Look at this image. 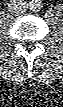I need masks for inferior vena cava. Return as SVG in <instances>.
Returning <instances> with one entry per match:
<instances>
[{
	"label": "inferior vena cava",
	"instance_id": "inferior-vena-cava-1",
	"mask_svg": "<svg viewBox=\"0 0 63 107\" xmlns=\"http://www.w3.org/2000/svg\"><path fill=\"white\" fill-rule=\"evenodd\" d=\"M9 10L13 13V14H23L24 12H26L27 10V6L24 2L22 1H18V2H12L9 5Z\"/></svg>",
	"mask_w": 63,
	"mask_h": 107
}]
</instances>
